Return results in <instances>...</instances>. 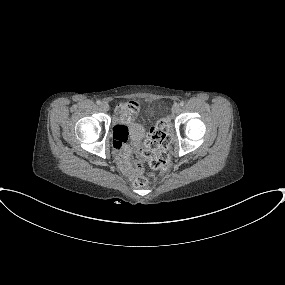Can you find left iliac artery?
I'll return each instance as SVG.
<instances>
[{"mask_svg": "<svg viewBox=\"0 0 285 285\" xmlns=\"http://www.w3.org/2000/svg\"><path fill=\"white\" fill-rule=\"evenodd\" d=\"M180 106H184V102L183 101L180 102Z\"/></svg>", "mask_w": 285, "mask_h": 285, "instance_id": "1", "label": "left iliac artery"}]
</instances>
